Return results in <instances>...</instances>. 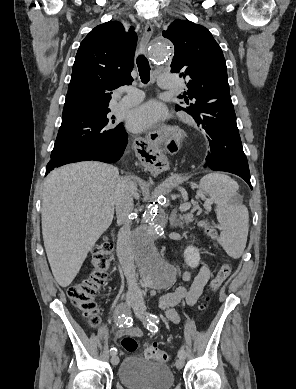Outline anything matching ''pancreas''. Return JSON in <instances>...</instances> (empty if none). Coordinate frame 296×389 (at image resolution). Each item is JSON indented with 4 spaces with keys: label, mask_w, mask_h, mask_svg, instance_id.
<instances>
[{
    "label": "pancreas",
    "mask_w": 296,
    "mask_h": 389,
    "mask_svg": "<svg viewBox=\"0 0 296 389\" xmlns=\"http://www.w3.org/2000/svg\"><path fill=\"white\" fill-rule=\"evenodd\" d=\"M182 220L186 223V224H189L191 222H193L194 220V216H193V213L190 212V213H185L181 216Z\"/></svg>",
    "instance_id": "1"
}]
</instances>
